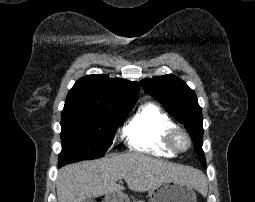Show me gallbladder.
<instances>
[{
	"label": "gallbladder",
	"instance_id": "bac80fb5",
	"mask_svg": "<svg viewBox=\"0 0 255 202\" xmlns=\"http://www.w3.org/2000/svg\"><path fill=\"white\" fill-rule=\"evenodd\" d=\"M82 202H92L91 199H84Z\"/></svg>",
	"mask_w": 255,
	"mask_h": 202
}]
</instances>
